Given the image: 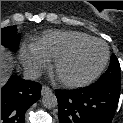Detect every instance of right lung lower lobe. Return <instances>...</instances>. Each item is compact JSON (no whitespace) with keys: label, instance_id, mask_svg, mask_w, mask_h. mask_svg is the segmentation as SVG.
<instances>
[{"label":"right lung lower lobe","instance_id":"98d812e1","mask_svg":"<svg viewBox=\"0 0 123 123\" xmlns=\"http://www.w3.org/2000/svg\"><path fill=\"white\" fill-rule=\"evenodd\" d=\"M40 96L39 83L13 75L1 89V123H25L26 110Z\"/></svg>","mask_w":123,"mask_h":123}]
</instances>
